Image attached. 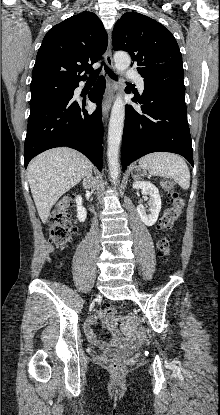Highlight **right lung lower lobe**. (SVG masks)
Segmentation results:
<instances>
[{
  "label": "right lung lower lobe",
  "mask_w": 220,
  "mask_h": 415,
  "mask_svg": "<svg viewBox=\"0 0 220 415\" xmlns=\"http://www.w3.org/2000/svg\"><path fill=\"white\" fill-rule=\"evenodd\" d=\"M79 83L74 85L73 91ZM105 79L100 76L89 93L97 103L93 113L85 110V99L75 100L73 91L59 99L30 110L24 149V165L39 153L67 146L82 152L99 171L102 170L103 124L101 100Z\"/></svg>",
  "instance_id": "98d812e1"
}]
</instances>
